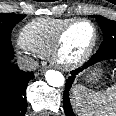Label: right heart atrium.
<instances>
[{
  "mask_svg": "<svg viewBox=\"0 0 116 116\" xmlns=\"http://www.w3.org/2000/svg\"><path fill=\"white\" fill-rule=\"evenodd\" d=\"M24 50H25V49H24ZM26 51H27V50H26ZM18 53L21 54V55H27V52H25V51H21V50L18 51Z\"/></svg>",
  "mask_w": 116,
  "mask_h": 116,
  "instance_id": "obj_1",
  "label": "right heart atrium"
}]
</instances>
